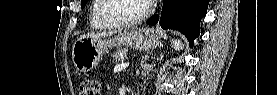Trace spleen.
I'll use <instances>...</instances> for the list:
<instances>
[{
  "instance_id": "spleen-1",
  "label": "spleen",
  "mask_w": 277,
  "mask_h": 95,
  "mask_svg": "<svg viewBox=\"0 0 277 95\" xmlns=\"http://www.w3.org/2000/svg\"><path fill=\"white\" fill-rule=\"evenodd\" d=\"M172 47L176 50H180L183 48V44L180 42V40H172Z\"/></svg>"
}]
</instances>
